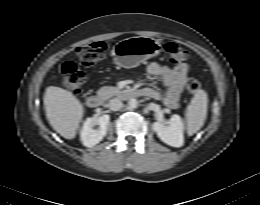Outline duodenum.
Wrapping results in <instances>:
<instances>
[{
  "label": "duodenum",
  "instance_id": "obj_1",
  "mask_svg": "<svg viewBox=\"0 0 260 205\" xmlns=\"http://www.w3.org/2000/svg\"><path fill=\"white\" fill-rule=\"evenodd\" d=\"M143 93L141 90H128V91H121L118 93V98L122 100H130L133 98H137L142 96ZM87 106L91 109H97L102 106V98L98 95H90L86 99Z\"/></svg>",
  "mask_w": 260,
  "mask_h": 205
}]
</instances>
